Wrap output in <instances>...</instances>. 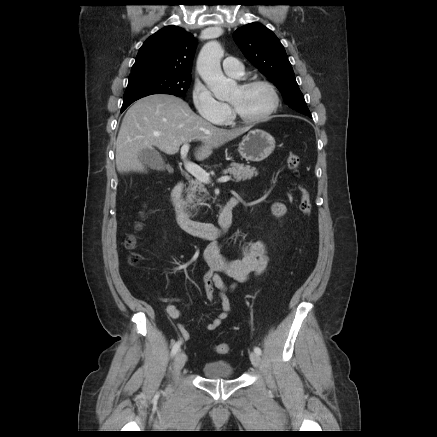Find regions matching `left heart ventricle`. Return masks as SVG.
Here are the masks:
<instances>
[{
  "label": "left heart ventricle",
  "instance_id": "b2bd125f",
  "mask_svg": "<svg viewBox=\"0 0 437 437\" xmlns=\"http://www.w3.org/2000/svg\"><path fill=\"white\" fill-rule=\"evenodd\" d=\"M236 110L245 117H257L270 107L272 96L263 86L243 89L238 86L228 98Z\"/></svg>",
  "mask_w": 437,
  "mask_h": 437
}]
</instances>
